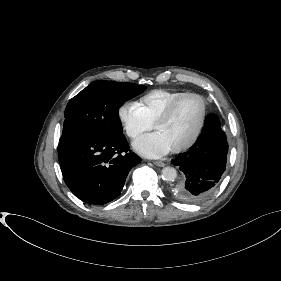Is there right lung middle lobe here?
I'll use <instances>...</instances> for the list:
<instances>
[{
    "label": "right lung middle lobe",
    "mask_w": 281,
    "mask_h": 281,
    "mask_svg": "<svg viewBox=\"0 0 281 281\" xmlns=\"http://www.w3.org/2000/svg\"><path fill=\"white\" fill-rule=\"evenodd\" d=\"M145 89V86L106 80L88 85L66 107L59 147L79 138L122 134L119 108Z\"/></svg>",
    "instance_id": "obj_1"
}]
</instances>
